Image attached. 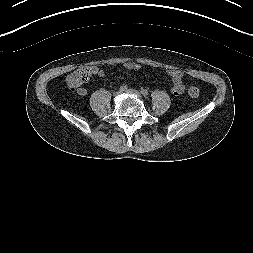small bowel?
<instances>
[{
    "label": "small bowel",
    "instance_id": "1",
    "mask_svg": "<svg viewBox=\"0 0 253 253\" xmlns=\"http://www.w3.org/2000/svg\"><path fill=\"white\" fill-rule=\"evenodd\" d=\"M125 67L129 68V69H138V68H140V65L136 62H130V63H126ZM90 68H91L92 73L98 75L99 77H103L105 75V72L103 70L98 69L95 66H92ZM166 73L172 79V88H171L172 93L174 95L180 94L183 91V88H184V86H183V74L180 71L175 70V69H169V70L166 71ZM77 93L79 95H86L87 90H86V88L82 87L77 91Z\"/></svg>",
    "mask_w": 253,
    "mask_h": 253
}]
</instances>
